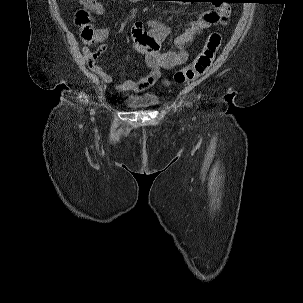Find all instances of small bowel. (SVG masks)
Wrapping results in <instances>:
<instances>
[{"label": "small bowel", "instance_id": "c3829d8e", "mask_svg": "<svg viewBox=\"0 0 303 303\" xmlns=\"http://www.w3.org/2000/svg\"><path fill=\"white\" fill-rule=\"evenodd\" d=\"M137 3L141 0H129ZM89 10L96 15L103 14L105 7L101 0H92L88 4ZM230 13V7L226 4L219 5L218 8L206 11L200 14L196 21L191 22L184 31L174 40L175 51H161V46L169 36L171 28L159 19H149L146 24L149 31L144 30V24L136 21L131 26V35L134 41V49L145 56L146 65L149 68L147 75L141 76L135 80H125L116 84V89L121 92L135 91L141 92L149 89L160 78L163 69H172L184 64L188 59V53L185 49L193 38L202 30L219 23H224ZM108 30H102L99 36L104 38ZM144 39H150L146 42ZM106 45H101L97 49L85 47L83 54L89 68L97 74L105 83H112L117 75L112 74L103 66L99 65L98 60Z\"/></svg>", "mask_w": 303, "mask_h": 303}]
</instances>
